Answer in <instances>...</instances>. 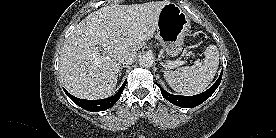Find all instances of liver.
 <instances>
[{
  "instance_id": "6515ba94",
  "label": "liver",
  "mask_w": 276,
  "mask_h": 138,
  "mask_svg": "<svg viewBox=\"0 0 276 138\" xmlns=\"http://www.w3.org/2000/svg\"><path fill=\"white\" fill-rule=\"evenodd\" d=\"M167 3L109 5L85 17L61 52L59 73L67 91L84 99L109 97L117 84L120 56L137 52L154 35Z\"/></svg>"
}]
</instances>
